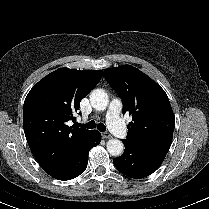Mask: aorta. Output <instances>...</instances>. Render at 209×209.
Instances as JSON below:
<instances>
[{
  "label": "aorta",
  "mask_w": 209,
  "mask_h": 209,
  "mask_svg": "<svg viewBox=\"0 0 209 209\" xmlns=\"http://www.w3.org/2000/svg\"><path fill=\"white\" fill-rule=\"evenodd\" d=\"M90 102L94 109L98 111L105 110L109 103V97L105 90L95 89L90 94ZM107 150L112 156H120L124 151L122 141L118 139H110L107 142Z\"/></svg>",
  "instance_id": "aorta-1"
}]
</instances>
